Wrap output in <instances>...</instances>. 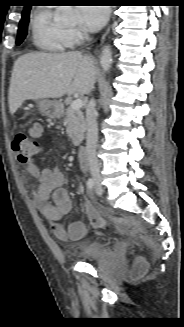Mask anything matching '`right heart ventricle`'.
I'll return each instance as SVG.
<instances>
[{"label": "right heart ventricle", "mask_w": 184, "mask_h": 327, "mask_svg": "<svg viewBox=\"0 0 184 327\" xmlns=\"http://www.w3.org/2000/svg\"><path fill=\"white\" fill-rule=\"evenodd\" d=\"M30 29L33 43L42 50L61 52L71 47L68 29L57 23L49 7L35 11Z\"/></svg>", "instance_id": "obj_1"}]
</instances>
